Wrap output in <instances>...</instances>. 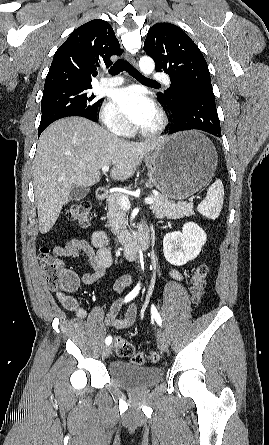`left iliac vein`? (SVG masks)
I'll return each instance as SVG.
<instances>
[{
	"label": "left iliac vein",
	"instance_id": "obj_1",
	"mask_svg": "<svg viewBox=\"0 0 269 445\" xmlns=\"http://www.w3.org/2000/svg\"><path fill=\"white\" fill-rule=\"evenodd\" d=\"M157 344H158L159 349L162 352L167 351V349H168V342H167V339H166L164 333L161 330H159L157 332Z\"/></svg>",
	"mask_w": 269,
	"mask_h": 445
}]
</instances>
